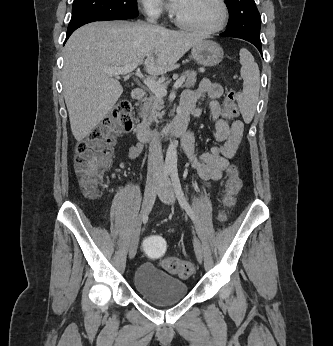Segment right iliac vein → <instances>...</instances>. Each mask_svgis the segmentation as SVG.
<instances>
[{
  "label": "right iliac vein",
  "mask_w": 333,
  "mask_h": 346,
  "mask_svg": "<svg viewBox=\"0 0 333 346\" xmlns=\"http://www.w3.org/2000/svg\"><path fill=\"white\" fill-rule=\"evenodd\" d=\"M159 179H160L159 176H154L146 187V190L144 193V199H143L141 214H140L139 220L137 222V225L135 227V230L133 232L130 246H129V257L131 259L134 258V256L136 255L138 243H139L141 225H142L144 218L146 217L147 213L149 212V210L153 204Z\"/></svg>",
  "instance_id": "obj_1"
}]
</instances>
